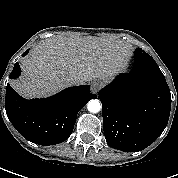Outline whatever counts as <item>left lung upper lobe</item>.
<instances>
[{
    "label": "left lung upper lobe",
    "instance_id": "1",
    "mask_svg": "<svg viewBox=\"0 0 178 178\" xmlns=\"http://www.w3.org/2000/svg\"><path fill=\"white\" fill-rule=\"evenodd\" d=\"M147 54L145 51H143L141 48H137L134 53V58L135 57H141V56H146Z\"/></svg>",
    "mask_w": 178,
    "mask_h": 178
}]
</instances>
